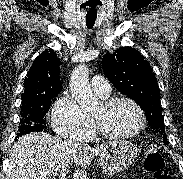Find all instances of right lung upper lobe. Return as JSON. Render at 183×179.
Instances as JSON below:
<instances>
[{
    "mask_svg": "<svg viewBox=\"0 0 183 179\" xmlns=\"http://www.w3.org/2000/svg\"><path fill=\"white\" fill-rule=\"evenodd\" d=\"M60 64L56 53L51 49L36 58L25 78L22 103L60 93Z\"/></svg>",
    "mask_w": 183,
    "mask_h": 179,
    "instance_id": "right-lung-upper-lobe-1",
    "label": "right lung upper lobe"
}]
</instances>
